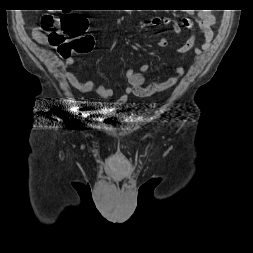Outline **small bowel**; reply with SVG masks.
Wrapping results in <instances>:
<instances>
[{"instance_id":"small-bowel-1","label":"small bowel","mask_w":253,"mask_h":253,"mask_svg":"<svg viewBox=\"0 0 253 253\" xmlns=\"http://www.w3.org/2000/svg\"><path fill=\"white\" fill-rule=\"evenodd\" d=\"M196 22L203 34L204 41L202 43L201 49L194 48L195 45V36L192 35L183 45L176 47V52L186 53L193 49V52L196 56L202 54V50H208L210 48V43L213 39V30L212 26L214 24V17L210 11H200ZM151 24L154 26H170L176 34H180L182 27L187 29L193 28V22L188 18H182L181 21H177L173 18H154L151 21ZM34 39L40 44H46L48 38L45 33L38 29L34 32ZM167 39L161 37L157 43L159 47L167 46ZM74 64L73 58H67L65 61V76L69 83L82 94L93 92L98 98L107 100L113 96L112 88L105 86L103 84H98L94 81H80L74 73L68 70V68ZM149 70V65L143 63L140 65L136 71L134 68H129L125 73V79L127 86L122 89V94L118 99V104L125 103L128 100L129 95H134L136 97H150L156 93L165 91L178 82V80L184 75V69L180 66H175L173 68L174 75L162 82H154L150 84L145 83L144 74Z\"/></svg>"}]
</instances>
